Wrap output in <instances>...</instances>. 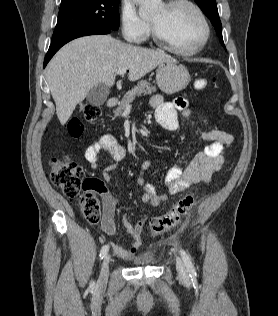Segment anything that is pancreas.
Wrapping results in <instances>:
<instances>
[{
    "mask_svg": "<svg viewBox=\"0 0 278 316\" xmlns=\"http://www.w3.org/2000/svg\"><path fill=\"white\" fill-rule=\"evenodd\" d=\"M153 92H156V88L151 86L150 83L146 80H141L137 85L128 91L122 100L120 101L118 107L114 111L115 116H119L126 109V107L135 100L136 97L142 95H149Z\"/></svg>",
    "mask_w": 278,
    "mask_h": 316,
    "instance_id": "obj_1",
    "label": "pancreas"
}]
</instances>
